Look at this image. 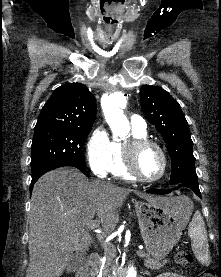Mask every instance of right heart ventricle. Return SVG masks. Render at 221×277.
Segmentation results:
<instances>
[{
  "mask_svg": "<svg viewBox=\"0 0 221 277\" xmlns=\"http://www.w3.org/2000/svg\"><path fill=\"white\" fill-rule=\"evenodd\" d=\"M133 138H146V132L132 130ZM108 171L117 178L133 180V177L126 171L124 165V144L119 141L112 142V158Z\"/></svg>",
  "mask_w": 221,
  "mask_h": 277,
  "instance_id": "obj_1",
  "label": "right heart ventricle"
}]
</instances>
